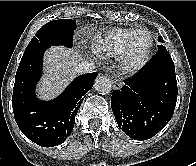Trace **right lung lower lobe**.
<instances>
[{"label":"right lung lower lobe","mask_w":196,"mask_h":166,"mask_svg":"<svg viewBox=\"0 0 196 166\" xmlns=\"http://www.w3.org/2000/svg\"><path fill=\"white\" fill-rule=\"evenodd\" d=\"M46 49L32 50L22 56L16 72L12 107L23 134L40 146L52 147L63 143L71 134L83 96L91 89L98 74L79 76L54 100L40 101L34 90L42 73Z\"/></svg>","instance_id":"obj_1"}]
</instances>
